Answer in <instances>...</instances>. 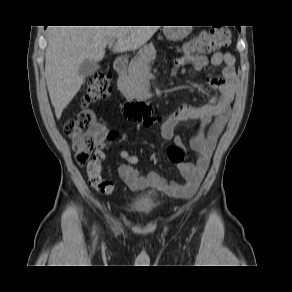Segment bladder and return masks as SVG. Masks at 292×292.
I'll list each match as a JSON object with an SVG mask.
<instances>
[{
    "mask_svg": "<svg viewBox=\"0 0 292 292\" xmlns=\"http://www.w3.org/2000/svg\"><path fill=\"white\" fill-rule=\"evenodd\" d=\"M156 206V193L146 192L131 202V210L134 213H146Z\"/></svg>",
    "mask_w": 292,
    "mask_h": 292,
    "instance_id": "31cf9c89",
    "label": "bladder"
}]
</instances>
